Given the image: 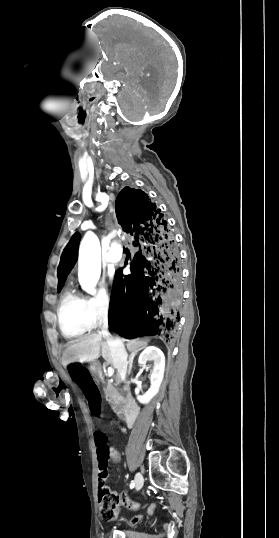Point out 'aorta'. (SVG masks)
<instances>
[{
	"label": "aorta",
	"instance_id": "obj_1",
	"mask_svg": "<svg viewBox=\"0 0 279 538\" xmlns=\"http://www.w3.org/2000/svg\"><path fill=\"white\" fill-rule=\"evenodd\" d=\"M100 273V242L93 232H87L80 244L78 254V279L81 288L88 294L94 295Z\"/></svg>",
	"mask_w": 279,
	"mask_h": 538
}]
</instances>
